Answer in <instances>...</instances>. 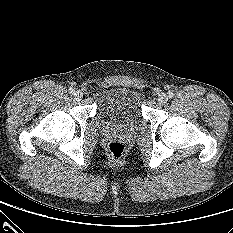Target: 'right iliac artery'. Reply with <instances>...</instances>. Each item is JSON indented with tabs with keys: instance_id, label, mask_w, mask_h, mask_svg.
Segmentation results:
<instances>
[{
	"instance_id": "82829eb1",
	"label": "right iliac artery",
	"mask_w": 233,
	"mask_h": 233,
	"mask_svg": "<svg viewBox=\"0 0 233 233\" xmlns=\"http://www.w3.org/2000/svg\"><path fill=\"white\" fill-rule=\"evenodd\" d=\"M75 90L73 88H69V93L74 94Z\"/></svg>"
}]
</instances>
